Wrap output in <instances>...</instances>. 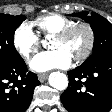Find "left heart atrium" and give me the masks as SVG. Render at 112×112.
Wrapping results in <instances>:
<instances>
[{
    "label": "left heart atrium",
    "instance_id": "39dd6f15",
    "mask_svg": "<svg viewBox=\"0 0 112 112\" xmlns=\"http://www.w3.org/2000/svg\"><path fill=\"white\" fill-rule=\"evenodd\" d=\"M71 56L63 49L57 48L37 54L30 62V68L45 72L53 68H66L71 63Z\"/></svg>",
    "mask_w": 112,
    "mask_h": 112
}]
</instances>
